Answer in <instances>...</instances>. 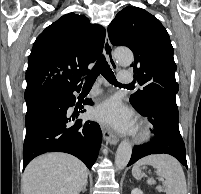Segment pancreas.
Wrapping results in <instances>:
<instances>
[{"label": "pancreas", "instance_id": "obj_1", "mask_svg": "<svg viewBox=\"0 0 201 194\" xmlns=\"http://www.w3.org/2000/svg\"><path fill=\"white\" fill-rule=\"evenodd\" d=\"M157 190H158V191H162L161 187H157Z\"/></svg>", "mask_w": 201, "mask_h": 194}]
</instances>
